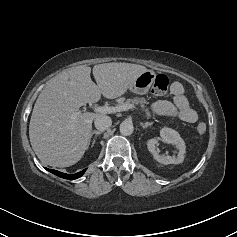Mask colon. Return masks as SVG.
Here are the masks:
<instances>
[{
  "label": "colon",
  "mask_w": 237,
  "mask_h": 237,
  "mask_svg": "<svg viewBox=\"0 0 237 237\" xmlns=\"http://www.w3.org/2000/svg\"><path fill=\"white\" fill-rule=\"evenodd\" d=\"M168 88L169 80L165 75L159 74L154 77V81L151 88L153 94L164 96L167 94ZM206 129L207 127L205 123H199L197 126V132L199 134H204L206 132Z\"/></svg>",
  "instance_id": "5ec220e1"
}]
</instances>
